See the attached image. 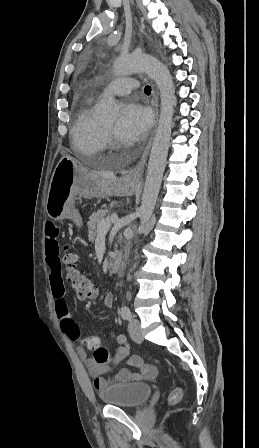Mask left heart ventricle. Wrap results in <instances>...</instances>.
Instances as JSON below:
<instances>
[{
  "label": "left heart ventricle",
  "mask_w": 259,
  "mask_h": 448,
  "mask_svg": "<svg viewBox=\"0 0 259 448\" xmlns=\"http://www.w3.org/2000/svg\"><path fill=\"white\" fill-rule=\"evenodd\" d=\"M103 124H104L106 127H108L109 129H111V131H112L113 134H114V138H115L116 142L119 144L120 141H121L122 139L119 137V135H118V133H117V131H116V122H115V119L105 121V122H103Z\"/></svg>",
  "instance_id": "1"
}]
</instances>
